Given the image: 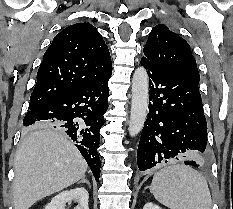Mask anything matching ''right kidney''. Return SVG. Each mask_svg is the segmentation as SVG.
<instances>
[{"label":"right kidney","mask_w":233,"mask_h":209,"mask_svg":"<svg viewBox=\"0 0 233 209\" xmlns=\"http://www.w3.org/2000/svg\"><path fill=\"white\" fill-rule=\"evenodd\" d=\"M88 199V191L83 187H77L56 195L45 209H65V204L72 201L78 203L75 209H89Z\"/></svg>","instance_id":"ca27d5eb"}]
</instances>
